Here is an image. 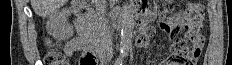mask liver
<instances>
[{
    "label": "liver",
    "instance_id": "6515ba94",
    "mask_svg": "<svg viewBox=\"0 0 232 65\" xmlns=\"http://www.w3.org/2000/svg\"><path fill=\"white\" fill-rule=\"evenodd\" d=\"M34 12L40 17H47L55 12L67 0H30Z\"/></svg>",
    "mask_w": 232,
    "mask_h": 65
}]
</instances>
